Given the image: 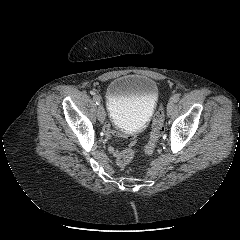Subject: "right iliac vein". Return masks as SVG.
I'll return each instance as SVG.
<instances>
[{"mask_svg":"<svg viewBox=\"0 0 240 240\" xmlns=\"http://www.w3.org/2000/svg\"><path fill=\"white\" fill-rule=\"evenodd\" d=\"M97 114H98V120L103 123L105 121L106 115H105V111L102 105H99L98 110H97Z\"/></svg>","mask_w":240,"mask_h":240,"instance_id":"obj_1","label":"right iliac vein"}]
</instances>
